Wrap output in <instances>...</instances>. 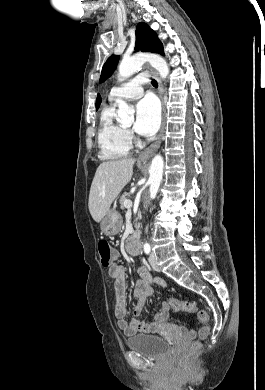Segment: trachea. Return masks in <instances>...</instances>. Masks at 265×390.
<instances>
[{"mask_svg":"<svg viewBox=\"0 0 265 390\" xmlns=\"http://www.w3.org/2000/svg\"><path fill=\"white\" fill-rule=\"evenodd\" d=\"M151 84H152L154 87H158V83H157V81L154 80V79L151 81Z\"/></svg>","mask_w":265,"mask_h":390,"instance_id":"3493384b","label":"trachea"}]
</instances>
